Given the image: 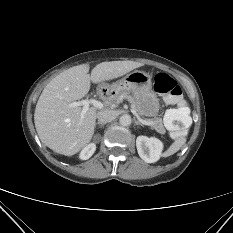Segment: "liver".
<instances>
[{"instance_id":"1","label":"liver","mask_w":233,"mask_h":233,"mask_svg":"<svg viewBox=\"0 0 233 233\" xmlns=\"http://www.w3.org/2000/svg\"><path fill=\"white\" fill-rule=\"evenodd\" d=\"M141 66L134 61L102 62L90 75L89 64H81L57 75L46 85L35 108L34 123L41 142L66 156L78 153L91 141L98 113L97 108L90 107L82 119V108L69 104L85 97L91 83L115 79ZM103 100L109 105L114 98Z\"/></svg>"}]
</instances>
